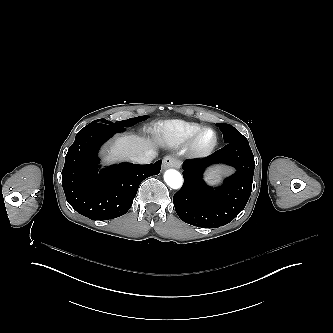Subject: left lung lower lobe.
<instances>
[{"mask_svg":"<svg viewBox=\"0 0 333 333\" xmlns=\"http://www.w3.org/2000/svg\"><path fill=\"white\" fill-rule=\"evenodd\" d=\"M224 163L236 172L222 186L211 188L203 181L205 168ZM254 156L248 140L235 138L210 156L183 163L184 184L174 195L176 212L184 222L203 228H217L231 222L245 207L253 183Z\"/></svg>","mask_w":333,"mask_h":333,"instance_id":"obj_1","label":"left lung lower lobe"}]
</instances>
